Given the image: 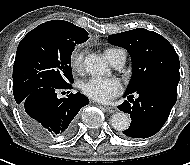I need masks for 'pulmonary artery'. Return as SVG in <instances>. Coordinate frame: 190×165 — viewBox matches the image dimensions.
<instances>
[{
  "mask_svg": "<svg viewBox=\"0 0 190 165\" xmlns=\"http://www.w3.org/2000/svg\"><path fill=\"white\" fill-rule=\"evenodd\" d=\"M126 59V54L123 50H119L116 53L114 61L111 63L114 67L120 68L123 66Z\"/></svg>",
  "mask_w": 190,
  "mask_h": 165,
  "instance_id": "pulmonary-artery-1",
  "label": "pulmonary artery"
}]
</instances>
